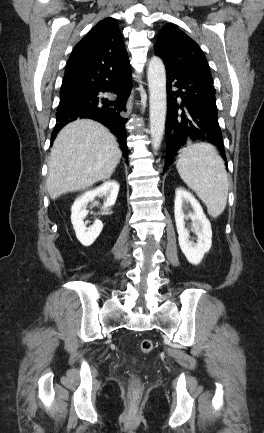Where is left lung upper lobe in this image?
<instances>
[{
    "label": "left lung upper lobe",
    "instance_id": "1",
    "mask_svg": "<svg viewBox=\"0 0 264 433\" xmlns=\"http://www.w3.org/2000/svg\"><path fill=\"white\" fill-rule=\"evenodd\" d=\"M166 67L189 76L212 79L209 65L200 47L174 24H166L159 31L154 47Z\"/></svg>",
    "mask_w": 264,
    "mask_h": 433
}]
</instances>
